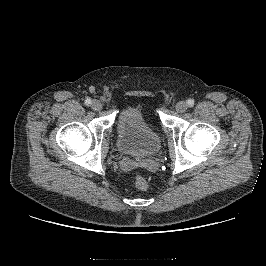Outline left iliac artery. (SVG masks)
<instances>
[{
	"mask_svg": "<svg viewBox=\"0 0 266 266\" xmlns=\"http://www.w3.org/2000/svg\"><path fill=\"white\" fill-rule=\"evenodd\" d=\"M187 103H188V105L190 107H192L194 105V100L193 99H188Z\"/></svg>",
	"mask_w": 266,
	"mask_h": 266,
	"instance_id": "1",
	"label": "left iliac artery"
}]
</instances>
